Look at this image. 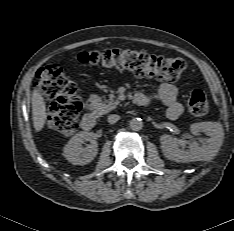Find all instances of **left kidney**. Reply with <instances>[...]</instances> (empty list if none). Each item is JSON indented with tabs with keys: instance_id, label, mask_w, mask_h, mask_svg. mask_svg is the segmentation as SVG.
Wrapping results in <instances>:
<instances>
[{
	"instance_id": "5707ae66",
	"label": "left kidney",
	"mask_w": 234,
	"mask_h": 231,
	"mask_svg": "<svg viewBox=\"0 0 234 231\" xmlns=\"http://www.w3.org/2000/svg\"><path fill=\"white\" fill-rule=\"evenodd\" d=\"M190 131L194 135H199L200 132H204L210 138L200 139L202 145L194 141L190 144L189 150H182L172 136L162 135L160 137L161 149L166 158L175 162L184 163L208 160L218 153L224 139L223 128L219 123H193L190 126Z\"/></svg>"
}]
</instances>
